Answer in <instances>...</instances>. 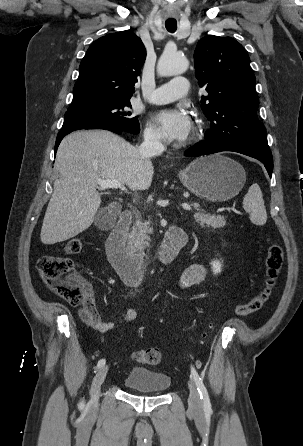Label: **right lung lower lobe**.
<instances>
[{"label": "right lung lower lobe", "instance_id": "obj_1", "mask_svg": "<svg viewBox=\"0 0 303 446\" xmlns=\"http://www.w3.org/2000/svg\"><path fill=\"white\" fill-rule=\"evenodd\" d=\"M80 129H105V130L115 132L117 134L128 133L127 131L122 129L120 126L115 125L113 123L97 121V120L85 121V122H81L76 125L70 126L66 129H61V131L58 133L57 138H56L55 151L57 150V147L59 146L61 140L67 134H69L75 130H80Z\"/></svg>", "mask_w": 303, "mask_h": 446}]
</instances>
